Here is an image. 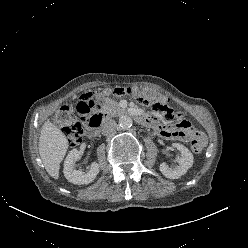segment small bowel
<instances>
[{"instance_id":"obj_1","label":"small bowel","mask_w":248,"mask_h":248,"mask_svg":"<svg viewBox=\"0 0 248 248\" xmlns=\"http://www.w3.org/2000/svg\"><path fill=\"white\" fill-rule=\"evenodd\" d=\"M157 130L159 135L166 140L174 141H189L196 137H202L205 139V135L192 128L189 121L185 119L179 120L175 125H162L155 119H152V125Z\"/></svg>"}]
</instances>
